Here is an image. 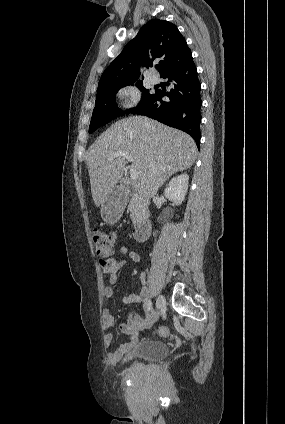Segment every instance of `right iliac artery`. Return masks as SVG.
Segmentation results:
<instances>
[{
	"label": "right iliac artery",
	"instance_id": "obj_1",
	"mask_svg": "<svg viewBox=\"0 0 285 424\" xmlns=\"http://www.w3.org/2000/svg\"><path fill=\"white\" fill-rule=\"evenodd\" d=\"M152 302L151 301H149V310L151 311L152 310Z\"/></svg>",
	"mask_w": 285,
	"mask_h": 424
}]
</instances>
